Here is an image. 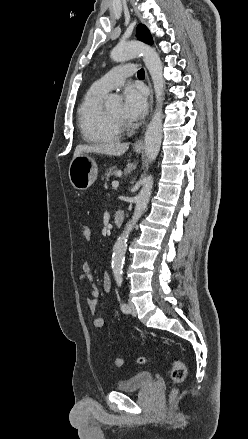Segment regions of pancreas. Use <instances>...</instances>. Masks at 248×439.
<instances>
[{"mask_svg": "<svg viewBox=\"0 0 248 439\" xmlns=\"http://www.w3.org/2000/svg\"><path fill=\"white\" fill-rule=\"evenodd\" d=\"M120 171L115 169L114 167L108 169L105 173V177H103V179H105L106 181L109 180V177H116L118 175Z\"/></svg>", "mask_w": 248, "mask_h": 439, "instance_id": "1", "label": "pancreas"}]
</instances>
